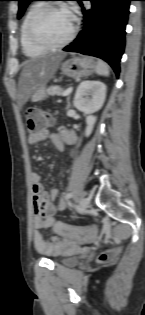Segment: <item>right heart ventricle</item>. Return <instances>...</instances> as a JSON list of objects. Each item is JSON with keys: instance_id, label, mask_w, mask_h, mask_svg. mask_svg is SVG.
<instances>
[{"instance_id": "1", "label": "right heart ventricle", "mask_w": 145, "mask_h": 315, "mask_svg": "<svg viewBox=\"0 0 145 315\" xmlns=\"http://www.w3.org/2000/svg\"><path fill=\"white\" fill-rule=\"evenodd\" d=\"M41 7L40 4L32 5L25 13L20 25V43L23 52L28 57H38L46 53L47 50L35 46L28 38L27 26L32 15Z\"/></svg>"}]
</instances>
